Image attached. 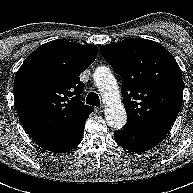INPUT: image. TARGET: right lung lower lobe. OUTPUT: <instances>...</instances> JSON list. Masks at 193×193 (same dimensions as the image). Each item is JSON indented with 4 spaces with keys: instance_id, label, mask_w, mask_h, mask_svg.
<instances>
[{
    "instance_id": "right-lung-lower-lobe-1",
    "label": "right lung lower lobe",
    "mask_w": 193,
    "mask_h": 193,
    "mask_svg": "<svg viewBox=\"0 0 193 193\" xmlns=\"http://www.w3.org/2000/svg\"><path fill=\"white\" fill-rule=\"evenodd\" d=\"M88 117L66 128L65 130L32 137V139L42 148L55 152L63 153L78 146L84 134V125Z\"/></svg>"
}]
</instances>
